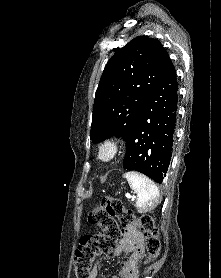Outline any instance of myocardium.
<instances>
[{
  "mask_svg": "<svg viewBox=\"0 0 221 278\" xmlns=\"http://www.w3.org/2000/svg\"><path fill=\"white\" fill-rule=\"evenodd\" d=\"M121 154V143L115 137H108L101 141L96 148V158L102 164H110Z\"/></svg>",
  "mask_w": 221,
  "mask_h": 278,
  "instance_id": "1",
  "label": "myocardium"
}]
</instances>
